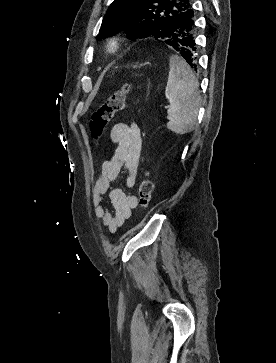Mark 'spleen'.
Here are the masks:
<instances>
[{
    "label": "spleen",
    "mask_w": 276,
    "mask_h": 363,
    "mask_svg": "<svg viewBox=\"0 0 276 363\" xmlns=\"http://www.w3.org/2000/svg\"><path fill=\"white\" fill-rule=\"evenodd\" d=\"M165 97L170 102L167 128L179 135L193 130L200 107L199 83L192 69L178 55L169 61Z\"/></svg>",
    "instance_id": "3e777b00"
}]
</instances>
